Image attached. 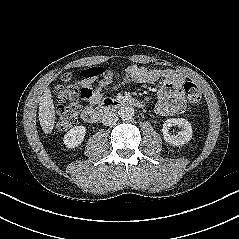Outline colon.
I'll return each instance as SVG.
<instances>
[{
  "instance_id": "5ec220e1",
  "label": "colon",
  "mask_w": 239,
  "mask_h": 239,
  "mask_svg": "<svg viewBox=\"0 0 239 239\" xmlns=\"http://www.w3.org/2000/svg\"><path fill=\"white\" fill-rule=\"evenodd\" d=\"M95 74L104 75L107 79L115 77L118 73L113 70L98 68ZM182 90L187 96L188 101L197 105L201 101L199 88L192 82H186ZM57 98L60 102L57 109V123L59 128L67 130L73 127L77 121L79 112V91L68 75L63 77V84L56 89Z\"/></svg>"
}]
</instances>
